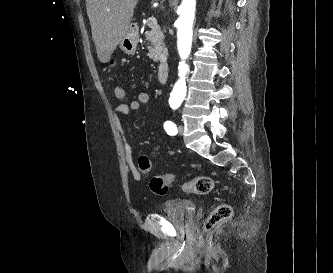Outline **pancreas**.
<instances>
[{"label": "pancreas", "mask_w": 333, "mask_h": 273, "mask_svg": "<svg viewBox=\"0 0 333 273\" xmlns=\"http://www.w3.org/2000/svg\"><path fill=\"white\" fill-rule=\"evenodd\" d=\"M146 40L149 42V57L158 62L167 55V49L164 43V35L160 28L152 29L145 33Z\"/></svg>", "instance_id": "1"}]
</instances>
